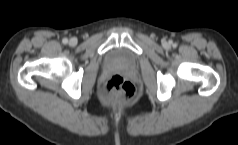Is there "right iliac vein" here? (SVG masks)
Segmentation results:
<instances>
[{"label": "right iliac vein", "instance_id": "right-iliac-vein-1", "mask_svg": "<svg viewBox=\"0 0 238 145\" xmlns=\"http://www.w3.org/2000/svg\"><path fill=\"white\" fill-rule=\"evenodd\" d=\"M76 43H77V40H76L75 38H71L70 41H69V44H70L71 46L76 45Z\"/></svg>", "mask_w": 238, "mask_h": 145}]
</instances>
